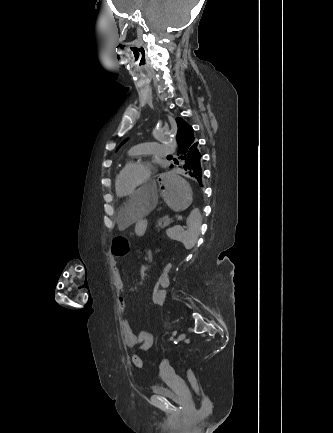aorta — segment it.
<instances>
[{
    "label": "aorta",
    "mask_w": 333,
    "mask_h": 433,
    "mask_svg": "<svg viewBox=\"0 0 333 433\" xmlns=\"http://www.w3.org/2000/svg\"><path fill=\"white\" fill-rule=\"evenodd\" d=\"M153 137L158 142L168 143L173 149L177 146L175 139L169 135L168 132L163 131L162 129H157L154 132Z\"/></svg>",
    "instance_id": "1"
}]
</instances>
